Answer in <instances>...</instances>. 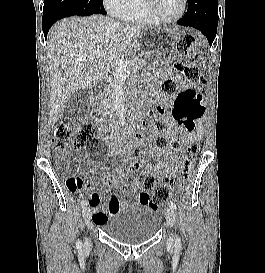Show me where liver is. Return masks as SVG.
Instances as JSON below:
<instances>
[{
    "label": "liver",
    "mask_w": 265,
    "mask_h": 273,
    "mask_svg": "<svg viewBox=\"0 0 265 273\" xmlns=\"http://www.w3.org/2000/svg\"><path fill=\"white\" fill-rule=\"evenodd\" d=\"M144 29L142 25L122 24L101 15L65 18L51 28L47 60L52 125L62 116L72 94L79 89H92L104 79Z\"/></svg>",
    "instance_id": "liver-1"
}]
</instances>
